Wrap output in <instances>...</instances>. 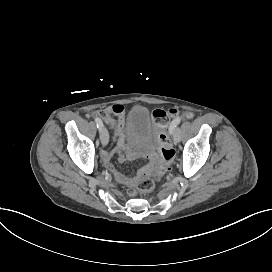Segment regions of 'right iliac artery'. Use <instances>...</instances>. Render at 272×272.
I'll use <instances>...</instances> for the list:
<instances>
[{
	"label": "right iliac artery",
	"instance_id": "1",
	"mask_svg": "<svg viewBox=\"0 0 272 272\" xmlns=\"http://www.w3.org/2000/svg\"><path fill=\"white\" fill-rule=\"evenodd\" d=\"M97 128L101 129L103 127V122L100 118H95Z\"/></svg>",
	"mask_w": 272,
	"mask_h": 272
}]
</instances>
